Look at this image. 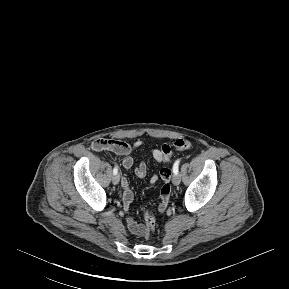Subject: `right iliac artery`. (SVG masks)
<instances>
[{"mask_svg":"<svg viewBox=\"0 0 289 289\" xmlns=\"http://www.w3.org/2000/svg\"><path fill=\"white\" fill-rule=\"evenodd\" d=\"M117 173H118V167L115 166L114 169H113V174L115 175V174H117Z\"/></svg>","mask_w":289,"mask_h":289,"instance_id":"82829eb1","label":"right iliac artery"}]
</instances>
